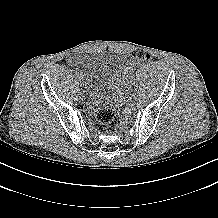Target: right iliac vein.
Segmentation results:
<instances>
[{"label": "right iliac vein", "instance_id": "right-iliac-vein-1", "mask_svg": "<svg viewBox=\"0 0 218 218\" xmlns=\"http://www.w3.org/2000/svg\"><path fill=\"white\" fill-rule=\"evenodd\" d=\"M79 81H80V86H82V84H81V79H79Z\"/></svg>", "mask_w": 218, "mask_h": 218}]
</instances>
